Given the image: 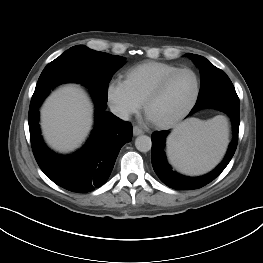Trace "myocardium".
I'll use <instances>...</instances> for the list:
<instances>
[{
	"mask_svg": "<svg viewBox=\"0 0 263 263\" xmlns=\"http://www.w3.org/2000/svg\"><path fill=\"white\" fill-rule=\"evenodd\" d=\"M182 72H190L194 75V77H195L194 94H193L192 98L190 99V101L188 102V104L184 107V109L180 113L175 115L174 117L167 119V120H164V121H153L150 119L151 122L156 127L168 128V127H171V126L177 124L179 121H181L183 118H185L190 113V111L194 108L195 104L197 103V100L199 98L200 91H201L200 77L194 69L189 68V67H183V68H178L175 71H172L171 73L164 76L158 82V84L147 95V97L145 98V100L143 102L144 113L148 117V110H149V107L151 106V104L162 94V92L166 88L167 84L171 81V79H173L175 76H177L178 74H180Z\"/></svg>",
	"mask_w": 263,
	"mask_h": 263,
	"instance_id": "obj_1",
	"label": "myocardium"
}]
</instances>
